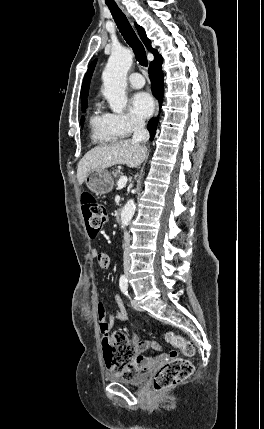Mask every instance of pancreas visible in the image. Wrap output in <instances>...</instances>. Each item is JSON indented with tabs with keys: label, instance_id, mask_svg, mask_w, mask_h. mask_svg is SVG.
<instances>
[{
	"label": "pancreas",
	"instance_id": "cf45deb5",
	"mask_svg": "<svg viewBox=\"0 0 264 429\" xmlns=\"http://www.w3.org/2000/svg\"><path fill=\"white\" fill-rule=\"evenodd\" d=\"M123 175V173L120 171V170H115L114 172H113V176L115 177V178H119V177H121Z\"/></svg>",
	"mask_w": 264,
	"mask_h": 429
}]
</instances>
